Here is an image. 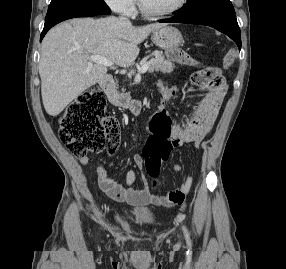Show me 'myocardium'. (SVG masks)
<instances>
[{"mask_svg":"<svg viewBox=\"0 0 286 269\" xmlns=\"http://www.w3.org/2000/svg\"><path fill=\"white\" fill-rule=\"evenodd\" d=\"M186 2L187 0H179L172 8L168 10L161 12H151L148 9H146L142 0H137L138 8L141 14L147 18H152V19H159L170 16L181 10L185 6Z\"/></svg>","mask_w":286,"mask_h":269,"instance_id":"1","label":"myocardium"}]
</instances>
